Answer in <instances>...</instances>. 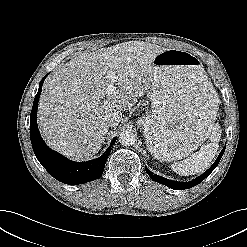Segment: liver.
<instances>
[{
	"mask_svg": "<svg viewBox=\"0 0 247 247\" xmlns=\"http://www.w3.org/2000/svg\"><path fill=\"white\" fill-rule=\"evenodd\" d=\"M165 50L129 41L82 53L60 65L45 81L39 100L38 126L47 144L76 161L91 159L105 141L108 116L122 117V111L151 89L153 61ZM111 74L117 89L108 93Z\"/></svg>",
	"mask_w": 247,
	"mask_h": 247,
	"instance_id": "1",
	"label": "liver"
}]
</instances>
